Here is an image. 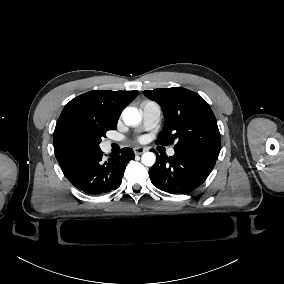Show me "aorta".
I'll return each instance as SVG.
<instances>
[{
    "label": "aorta",
    "instance_id": "obj_1",
    "mask_svg": "<svg viewBox=\"0 0 284 284\" xmlns=\"http://www.w3.org/2000/svg\"><path fill=\"white\" fill-rule=\"evenodd\" d=\"M122 119L127 126H136L141 120L142 116L139 111L134 107H127L122 113ZM141 161L145 166H153L156 161V156L153 152H145L141 157Z\"/></svg>",
    "mask_w": 284,
    "mask_h": 284
}]
</instances>
